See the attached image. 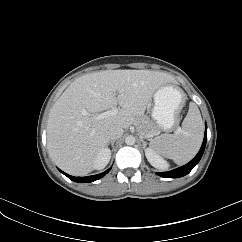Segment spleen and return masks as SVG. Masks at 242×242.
<instances>
[{
    "mask_svg": "<svg viewBox=\"0 0 242 242\" xmlns=\"http://www.w3.org/2000/svg\"><path fill=\"white\" fill-rule=\"evenodd\" d=\"M204 135L200 111L193 102L189 104L187 116L180 133L163 134L151 141V146L162 156L178 165L189 162L198 152Z\"/></svg>",
    "mask_w": 242,
    "mask_h": 242,
    "instance_id": "spleen-1",
    "label": "spleen"
}]
</instances>
